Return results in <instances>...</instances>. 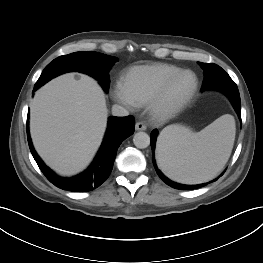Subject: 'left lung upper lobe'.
<instances>
[{
  "label": "left lung upper lobe",
  "instance_id": "obj_1",
  "mask_svg": "<svg viewBox=\"0 0 263 263\" xmlns=\"http://www.w3.org/2000/svg\"><path fill=\"white\" fill-rule=\"evenodd\" d=\"M219 77L216 78L215 81V86L223 85V84H235L234 81L230 78V76L223 70L221 69L219 72Z\"/></svg>",
  "mask_w": 263,
  "mask_h": 263
}]
</instances>
